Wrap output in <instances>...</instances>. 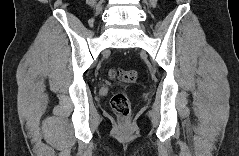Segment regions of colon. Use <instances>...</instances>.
I'll return each instance as SVG.
<instances>
[{
  "mask_svg": "<svg viewBox=\"0 0 239 156\" xmlns=\"http://www.w3.org/2000/svg\"><path fill=\"white\" fill-rule=\"evenodd\" d=\"M110 77L119 82L132 83L137 79V73L134 70H125L122 68H113L110 71ZM111 107L120 117L125 118L130 112V102L124 92H117L111 98Z\"/></svg>",
  "mask_w": 239,
  "mask_h": 156,
  "instance_id": "5ec220e1",
  "label": "colon"
}]
</instances>
